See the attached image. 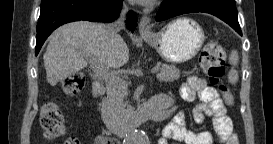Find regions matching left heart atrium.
I'll use <instances>...</instances> for the list:
<instances>
[{
    "label": "left heart atrium",
    "instance_id": "39dd6f15",
    "mask_svg": "<svg viewBox=\"0 0 273 144\" xmlns=\"http://www.w3.org/2000/svg\"><path fill=\"white\" fill-rule=\"evenodd\" d=\"M137 1L143 5H151L155 2V0H137Z\"/></svg>",
    "mask_w": 273,
    "mask_h": 144
}]
</instances>
